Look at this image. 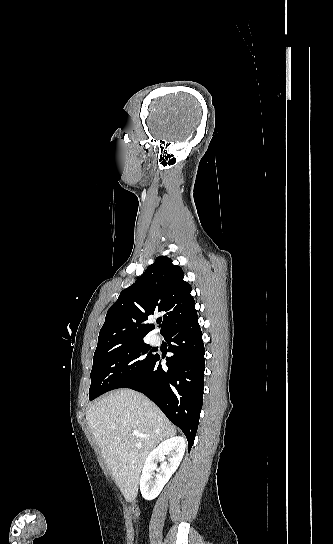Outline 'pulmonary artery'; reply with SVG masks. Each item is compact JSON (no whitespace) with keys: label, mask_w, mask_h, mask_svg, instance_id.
<instances>
[{"label":"pulmonary artery","mask_w":333,"mask_h":544,"mask_svg":"<svg viewBox=\"0 0 333 544\" xmlns=\"http://www.w3.org/2000/svg\"><path fill=\"white\" fill-rule=\"evenodd\" d=\"M151 341L154 345H157L160 343V336L158 334H153L151 337Z\"/></svg>","instance_id":"pulmonary-artery-1"}]
</instances>
